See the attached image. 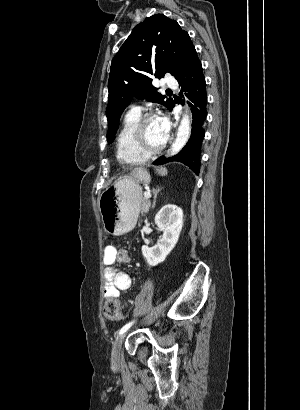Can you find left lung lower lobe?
<instances>
[{"label": "left lung lower lobe", "mask_w": 300, "mask_h": 410, "mask_svg": "<svg viewBox=\"0 0 300 410\" xmlns=\"http://www.w3.org/2000/svg\"><path fill=\"white\" fill-rule=\"evenodd\" d=\"M177 81L181 86V95H183V92L191 101L188 102L193 113L191 136L179 154L169 159L160 157L154 164L159 165L169 161H177L187 165L195 174L199 175L201 145L205 136L203 125L207 116V95L202 65L197 53L193 56L187 71ZM183 103L184 101L181 102V104Z\"/></svg>", "instance_id": "left-lung-lower-lobe-1"}]
</instances>
